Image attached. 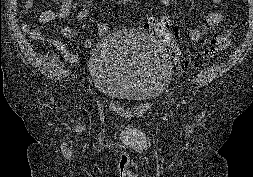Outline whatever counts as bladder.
Wrapping results in <instances>:
<instances>
[{"label": "bladder", "instance_id": "31cf9c89", "mask_svg": "<svg viewBox=\"0 0 253 177\" xmlns=\"http://www.w3.org/2000/svg\"><path fill=\"white\" fill-rule=\"evenodd\" d=\"M89 66L96 90L123 102L158 98L172 75L164 46L154 38L129 30L103 39L93 51Z\"/></svg>", "mask_w": 253, "mask_h": 177}]
</instances>
